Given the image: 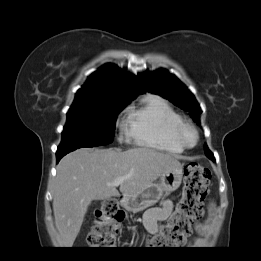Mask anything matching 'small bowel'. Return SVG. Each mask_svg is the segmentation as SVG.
<instances>
[{
	"mask_svg": "<svg viewBox=\"0 0 261 261\" xmlns=\"http://www.w3.org/2000/svg\"><path fill=\"white\" fill-rule=\"evenodd\" d=\"M172 210L173 202L169 199L163 201L159 207L150 210L146 215V225L148 229L153 233L157 232L159 224L171 215ZM196 230L198 236L193 240L192 244H196L201 240V237L206 232V226L199 224L196 226Z\"/></svg>",
	"mask_w": 261,
	"mask_h": 261,
	"instance_id": "c3829d8e",
	"label": "small bowel"
}]
</instances>
